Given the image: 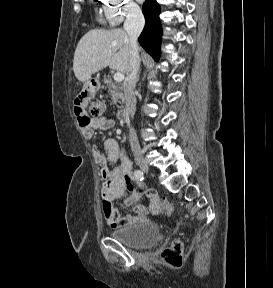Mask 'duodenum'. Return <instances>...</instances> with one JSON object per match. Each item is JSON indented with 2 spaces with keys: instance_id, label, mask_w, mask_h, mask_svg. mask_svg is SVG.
<instances>
[{
  "instance_id": "duodenum-1",
  "label": "duodenum",
  "mask_w": 273,
  "mask_h": 288,
  "mask_svg": "<svg viewBox=\"0 0 273 288\" xmlns=\"http://www.w3.org/2000/svg\"><path fill=\"white\" fill-rule=\"evenodd\" d=\"M117 118L120 123L127 122L128 116L124 109H119L117 112Z\"/></svg>"
}]
</instances>
